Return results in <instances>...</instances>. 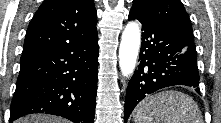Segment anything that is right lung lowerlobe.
I'll return each mask as SVG.
<instances>
[{
	"label": "right lung lower lobe",
	"mask_w": 221,
	"mask_h": 123,
	"mask_svg": "<svg viewBox=\"0 0 221 123\" xmlns=\"http://www.w3.org/2000/svg\"><path fill=\"white\" fill-rule=\"evenodd\" d=\"M98 36L61 48L22 53L10 109V122L31 113H48L74 123H94Z\"/></svg>",
	"instance_id": "98d812e1"
}]
</instances>
